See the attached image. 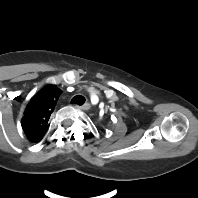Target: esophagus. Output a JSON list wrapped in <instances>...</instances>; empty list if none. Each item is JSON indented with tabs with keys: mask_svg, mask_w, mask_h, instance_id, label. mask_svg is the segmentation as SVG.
<instances>
[{
	"mask_svg": "<svg viewBox=\"0 0 198 198\" xmlns=\"http://www.w3.org/2000/svg\"><path fill=\"white\" fill-rule=\"evenodd\" d=\"M75 107L78 108V109H81V110H88V109H90L91 105L89 103H85L81 106L75 105Z\"/></svg>",
	"mask_w": 198,
	"mask_h": 198,
	"instance_id": "obj_1",
	"label": "esophagus"
}]
</instances>
